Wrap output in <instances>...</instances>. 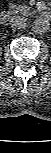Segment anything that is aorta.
<instances>
[{"label":"aorta","mask_w":51,"mask_h":153,"mask_svg":"<svg viewBox=\"0 0 51 153\" xmlns=\"http://www.w3.org/2000/svg\"><path fill=\"white\" fill-rule=\"evenodd\" d=\"M50 29V22L45 18L35 19L32 25V30L37 34H42Z\"/></svg>","instance_id":"aorta-1"}]
</instances>
